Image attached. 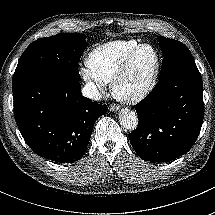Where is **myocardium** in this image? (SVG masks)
Returning a JSON list of instances; mask_svg holds the SVG:
<instances>
[{"instance_id": "obj_1", "label": "myocardium", "mask_w": 215, "mask_h": 215, "mask_svg": "<svg viewBox=\"0 0 215 215\" xmlns=\"http://www.w3.org/2000/svg\"><path fill=\"white\" fill-rule=\"evenodd\" d=\"M144 47H149L154 52V64L147 72L142 85L133 93L126 94L121 92L120 84L128 74L133 60L137 53ZM160 70V55L158 50L150 43H141L136 45L125 57L118 70L111 79V91L114 98L120 102L127 104H136L141 102L151 91L154 82Z\"/></svg>"}]
</instances>
